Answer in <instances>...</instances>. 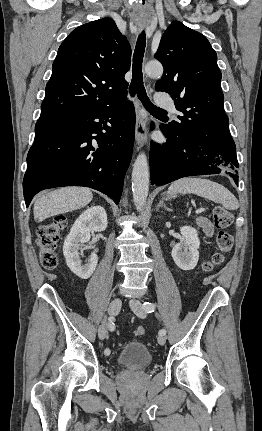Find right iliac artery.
Masks as SVG:
<instances>
[{"instance_id":"82829eb1","label":"right iliac artery","mask_w":262,"mask_h":431,"mask_svg":"<svg viewBox=\"0 0 262 431\" xmlns=\"http://www.w3.org/2000/svg\"><path fill=\"white\" fill-rule=\"evenodd\" d=\"M108 327H109V329H110V330H112V329H113V322H112L111 320H109ZM104 353H105L106 355H109V354H110V349H108V348H107V349H105Z\"/></svg>"}]
</instances>
